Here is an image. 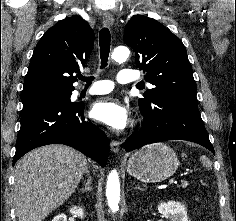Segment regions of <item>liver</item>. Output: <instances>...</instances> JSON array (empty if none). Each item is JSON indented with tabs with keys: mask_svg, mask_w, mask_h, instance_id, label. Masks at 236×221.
I'll list each match as a JSON object with an SVG mask.
<instances>
[{
	"mask_svg": "<svg viewBox=\"0 0 236 221\" xmlns=\"http://www.w3.org/2000/svg\"><path fill=\"white\" fill-rule=\"evenodd\" d=\"M87 158L73 148L52 144L26 154L16 164L14 202L18 221H42L74 192Z\"/></svg>",
	"mask_w": 236,
	"mask_h": 221,
	"instance_id": "obj_1",
	"label": "liver"
}]
</instances>
